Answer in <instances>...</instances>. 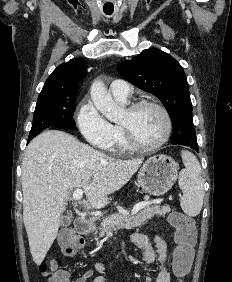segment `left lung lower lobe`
<instances>
[{
	"label": "left lung lower lobe",
	"instance_id": "left-lung-lower-lobe-1",
	"mask_svg": "<svg viewBox=\"0 0 232 282\" xmlns=\"http://www.w3.org/2000/svg\"><path fill=\"white\" fill-rule=\"evenodd\" d=\"M172 144L190 146L192 149H194L195 151L199 152L197 144H184L183 142L179 141L177 138H174V137L172 139Z\"/></svg>",
	"mask_w": 232,
	"mask_h": 282
}]
</instances>
